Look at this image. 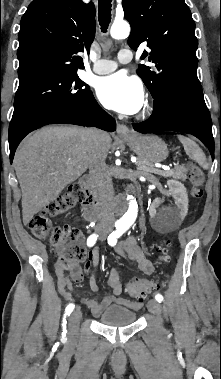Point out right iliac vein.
<instances>
[{
    "instance_id": "63e3f726",
    "label": "right iliac vein",
    "mask_w": 221,
    "mask_h": 379,
    "mask_svg": "<svg viewBox=\"0 0 221 379\" xmlns=\"http://www.w3.org/2000/svg\"><path fill=\"white\" fill-rule=\"evenodd\" d=\"M81 317L82 313L79 308L74 310L69 316V334L72 338H74L77 335Z\"/></svg>"
}]
</instances>
